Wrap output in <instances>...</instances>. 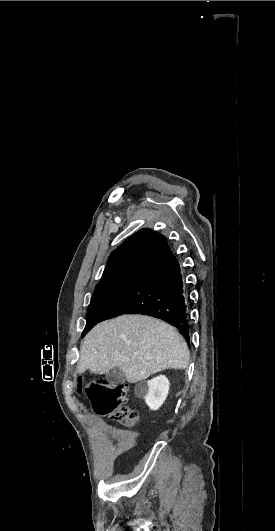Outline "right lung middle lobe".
Here are the masks:
<instances>
[{
	"label": "right lung middle lobe",
	"mask_w": 275,
	"mask_h": 531,
	"mask_svg": "<svg viewBox=\"0 0 275 531\" xmlns=\"http://www.w3.org/2000/svg\"><path fill=\"white\" fill-rule=\"evenodd\" d=\"M144 269L143 267L126 269L101 278L91 298L82 337L102 321L105 312L139 278Z\"/></svg>",
	"instance_id": "obj_1"
}]
</instances>
